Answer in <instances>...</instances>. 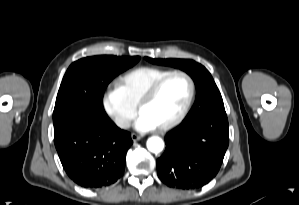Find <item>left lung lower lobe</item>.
Segmentation results:
<instances>
[{
    "instance_id": "1",
    "label": "left lung lower lobe",
    "mask_w": 299,
    "mask_h": 205,
    "mask_svg": "<svg viewBox=\"0 0 299 205\" xmlns=\"http://www.w3.org/2000/svg\"><path fill=\"white\" fill-rule=\"evenodd\" d=\"M166 150L157 159L158 176L169 187L197 189L218 173L229 144L225 109L196 119L185 118L165 137Z\"/></svg>"
}]
</instances>
